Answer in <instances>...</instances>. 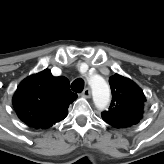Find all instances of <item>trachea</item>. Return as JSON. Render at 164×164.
Returning a JSON list of instances; mask_svg holds the SVG:
<instances>
[{"label": "trachea", "mask_w": 164, "mask_h": 164, "mask_svg": "<svg viewBox=\"0 0 164 164\" xmlns=\"http://www.w3.org/2000/svg\"><path fill=\"white\" fill-rule=\"evenodd\" d=\"M84 88V81L83 79L81 78H77L75 79L72 84H71V89L74 91V92H81Z\"/></svg>", "instance_id": "obj_1"}]
</instances>
